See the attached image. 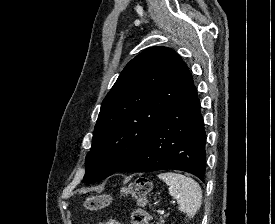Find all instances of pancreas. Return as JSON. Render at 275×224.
<instances>
[{"mask_svg": "<svg viewBox=\"0 0 275 224\" xmlns=\"http://www.w3.org/2000/svg\"><path fill=\"white\" fill-rule=\"evenodd\" d=\"M162 222H163V219H162V217H160V223L157 222L156 224H162Z\"/></svg>", "mask_w": 275, "mask_h": 224, "instance_id": "obj_1", "label": "pancreas"}]
</instances>
